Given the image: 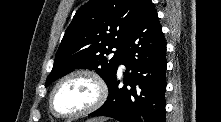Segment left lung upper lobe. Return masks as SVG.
Listing matches in <instances>:
<instances>
[{
    "label": "left lung upper lobe",
    "mask_w": 221,
    "mask_h": 122,
    "mask_svg": "<svg viewBox=\"0 0 221 122\" xmlns=\"http://www.w3.org/2000/svg\"><path fill=\"white\" fill-rule=\"evenodd\" d=\"M140 0H91L80 7L56 53L46 86L74 69L95 70L110 84ZM117 51L111 56L112 49Z\"/></svg>",
    "instance_id": "left-lung-upper-lobe-1"
}]
</instances>
